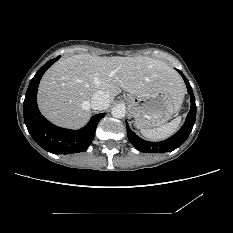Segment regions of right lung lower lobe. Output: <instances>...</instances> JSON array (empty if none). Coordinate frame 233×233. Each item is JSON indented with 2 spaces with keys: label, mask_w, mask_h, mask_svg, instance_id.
<instances>
[{
  "label": "right lung lower lobe",
  "mask_w": 233,
  "mask_h": 233,
  "mask_svg": "<svg viewBox=\"0 0 233 233\" xmlns=\"http://www.w3.org/2000/svg\"><path fill=\"white\" fill-rule=\"evenodd\" d=\"M49 60L35 74L28 86L23 104L24 121L35 142L54 154H71L85 151L95 136L96 127L105 113L94 115L80 130L57 127L43 117L37 106V90L45 71L58 59Z\"/></svg>",
  "instance_id": "right-lung-lower-lobe-1"
}]
</instances>
